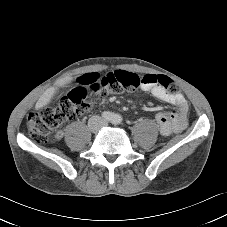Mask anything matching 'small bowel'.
Returning <instances> with one entry per match:
<instances>
[{"mask_svg": "<svg viewBox=\"0 0 227 227\" xmlns=\"http://www.w3.org/2000/svg\"><path fill=\"white\" fill-rule=\"evenodd\" d=\"M104 79L105 72L103 70H95L75 76L73 78V85L75 87H82L83 85L103 81ZM141 89L151 93L156 99L176 107V110L172 112H159L156 114V122L162 135L169 136L179 133L186 128L188 124L187 115L189 112V104L181 93H169L160 85L142 84ZM90 109L91 106H89L88 110ZM57 136L60 137L61 134L59 133Z\"/></svg>", "mask_w": 227, "mask_h": 227, "instance_id": "small-bowel-1", "label": "small bowel"}]
</instances>
